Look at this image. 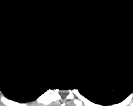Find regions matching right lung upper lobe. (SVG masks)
<instances>
[{
    "mask_svg": "<svg viewBox=\"0 0 133 106\" xmlns=\"http://www.w3.org/2000/svg\"><path fill=\"white\" fill-rule=\"evenodd\" d=\"M59 72L48 51L36 41H23L0 54V90L13 101L34 100L51 88Z\"/></svg>",
    "mask_w": 133,
    "mask_h": 106,
    "instance_id": "right-lung-upper-lobe-1",
    "label": "right lung upper lobe"
}]
</instances>
